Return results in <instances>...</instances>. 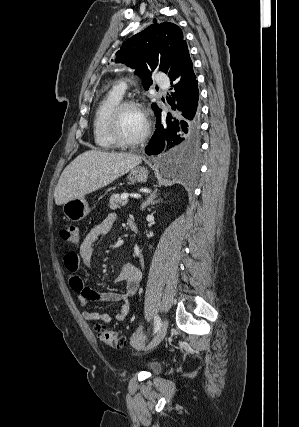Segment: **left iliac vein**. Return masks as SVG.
Segmentation results:
<instances>
[{
    "instance_id": "obj_1",
    "label": "left iliac vein",
    "mask_w": 299,
    "mask_h": 427,
    "mask_svg": "<svg viewBox=\"0 0 299 427\" xmlns=\"http://www.w3.org/2000/svg\"><path fill=\"white\" fill-rule=\"evenodd\" d=\"M167 329H168V322L166 319H163L157 334L152 339V341L148 344L147 349H152L156 347L166 336Z\"/></svg>"
}]
</instances>
